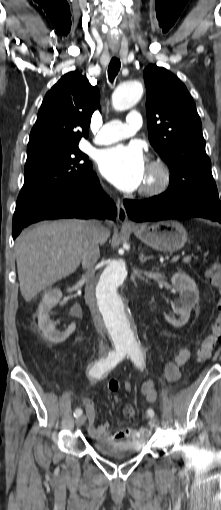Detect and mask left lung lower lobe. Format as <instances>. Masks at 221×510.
<instances>
[{"instance_id":"1","label":"left lung lower lobe","mask_w":221,"mask_h":510,"mask_svg":"<svg viewBox=\"0 0 221 510\" xmlns=\"http://www.w3.org/2000/svg\"><path fill=\"white\" fill-rule=\"evenodd\" d=\"M124 206L137 222L202 217L221 223V202L216 198H167L161 194L146 200H125Z\"/></svg>"}]
</instances>
